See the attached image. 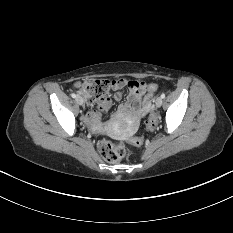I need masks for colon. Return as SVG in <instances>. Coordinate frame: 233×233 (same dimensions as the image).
<instances>
[{
  "label": "colon",
  "instance_id": "colon-1",
  "mask_svg": "<svg viewBox=\"0 0 233 233\" xmlns=\"http://www.w3.org/2000/svg\"><path fill=\"white\" fill-rule=\"evenodd\" d=\"M112 85L111 82L105 79H89L78 84L79 91L88 100H103L108 97ZM159 86L156 83H151L147 87V94L143 99V109L146 113H149L148 120L146 122L147 130H153L156 126L157 119L151 112V100L154 93L158 90ZM142 137H135L131 140V144L140 146L143 144ZM98 151L103 159L108 162H119L126 158L131 149L124 143H113L108 140H103L98 144Z\"/></svg>",
  "mask_w": 233,
  "mask_h": 233
}]
</instances>
